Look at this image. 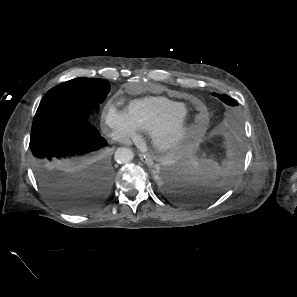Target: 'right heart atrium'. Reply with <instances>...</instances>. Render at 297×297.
Wrapping results in <instances>:
<instances>
[{
	"label": "right heart atrium",
	"instance_id": "right-heart-atrium-1",
	"mask_svg": "<svg viewBox=\"0 0 297 297\" xmlns=\"http://www.w3.org/2000/svg\"><path fill=\"white\" fill-rule=\"evenodd\" d=\"M103 123L114 140L127 143L139 139V129L128 114L112 104L107 105L103 112Z\"/></svg>",
	"mask_w": 297,
	"mask_h": 297
}]
</instances>
